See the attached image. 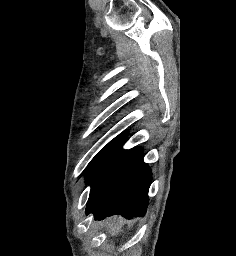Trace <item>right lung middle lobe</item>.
<instances>
[{"mask_svg":"<svg viewBox=\"0 0 236 256\" xmlns=\"http://www.w3.org/2000/svg\"><path fill=\"white\" fill-rule=\"evenodd\" d=\"M126 134L109 142L90 162L86 168L87 183L92 184L100 173L125 150L121 149Z\"/></svg>","mask_w":236,"mask_h":256,"instance_id":"obj_1","label":"right lung middle lobe"}]
</instances>
